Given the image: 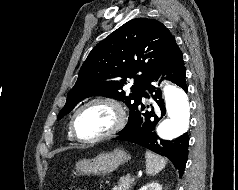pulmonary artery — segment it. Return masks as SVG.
Segmentation results:
<instances>
[{"instance_id":"obj_1","label":"pulmonary artery","mask_w":238,"mask_h":190,"mask_svg":"<svg viewBox=\"0 0 238 190\" xmlns=\"http://www.w3.org/2000/svg\"><path fill=\"white\" fill-rule=\"evenodd\" d=\"M145 93H148V91H147V90H145Z\"/></svg>"}]
</instances>
